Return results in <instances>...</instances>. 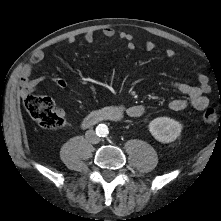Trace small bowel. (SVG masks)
<instances>
[{
	"mask_svg": "<svg viewBox=\"0 0 221 221\" xmlns=\"http://www.w3.org/2000/svg\"><path fill=\"white\" fill-rule=\"evenodd\" d=\"M101 34L106 38H114L116 36L115 30L109 26L103 27L101 29ZM119 37L126 42V46L129 50L135 49L136 45L133 35L129 33H121ZM84 40L85 42L91 44L96 40V34L92 31L86 32L84 35ZM68 42L74 43L75 38L73 36L69 37ZM145 49L147 51H155L157 49V44L153 41H147L145 43ZM165 56L167 58H174L176 56V51L172 48H168L165 50ZM43 58L44 53L42 51H37L33 54L30 61L23 66L20 76L21 94L23 97L31 94L47 79H49L55 86L60 89H64L66 87L65 80L59 77H31L34 66L41 62ZM196 78L198 81V85H191L181 81L175 82L173 84L174 88L185 97L176 98L170 102L169 108L172 111H182L189 106L201 111L208 106L209 99L207 97V93L210 89L208 84V77L204 73H198ZM121 108L126 112L128 116L133 118L140 117L145 111L144 106L139 104L130 106L122 105ZM60 114L64 115V112L60 111Z\"/></svg>",
	"mask_w": 221,
	"mask_h": 221,
	"instance_id": "small-bowel-1",
	"label": "small bowel"
}]
</instances>
